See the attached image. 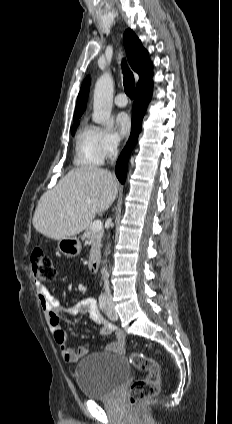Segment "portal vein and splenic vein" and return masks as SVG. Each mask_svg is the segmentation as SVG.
<instances>
[{"label": "portal vein and splenic vein", "instance_id": "18ae733b", "mask_svg": "<svg viewBox=\"0 0 232 424\" xmlns=\"http://www.w3.org/2000/svg\"><path fill=\"white\" fill-rule=\"evenodd\" d=\"M91 227L94 231H97L102 229L103 224L100 220H96L91 224Z\"/></svg>", "mask_w": 232, "mask_h": 424}]
</instances>
